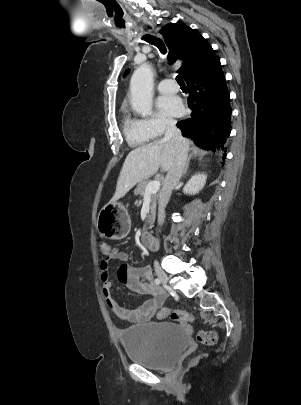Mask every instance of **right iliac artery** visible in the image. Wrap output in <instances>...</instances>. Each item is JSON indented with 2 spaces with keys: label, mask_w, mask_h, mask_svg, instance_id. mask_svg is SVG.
<instances>
[{
  "label": "right iliac artery",
  "mask_w": 301,
  "mask_h": 405,
  "mask_svg": "<svg viewBox=\"0 0 301 405\" xmlns=\"http://www.w3.org/2000/svg\"><path fill=\"white\" fill-rule=\"evenodd\" d=\"M160 283H161V281H160L158 278H156V279H155V284H156V285H160Z\"/></svg>",
  "instance_id": "1"
}]
</instances>
